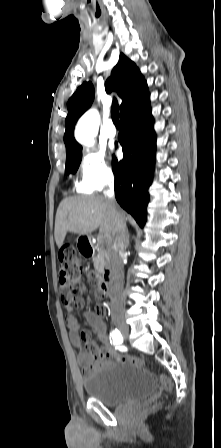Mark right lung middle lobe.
Returning <instances> with one entry per match:
<instances>
[{
  "label": "right lung middle lobe",
  "instance_id": "obj_1",
  "mask_svg": "<svg viewBox=\"0 0 221 448\" xmlns=\"http://www.w3.org/2000/svg\"><path fill=\"white\" fill-rule=\"evenodd\" d=\"M81 158H82V152L68 156L66 158L65 174H67V175L70 173L74 174L80 165Z\"/></svg>",
  "mask_w": 221,
  "mask_h": 448
}]
</instances>
